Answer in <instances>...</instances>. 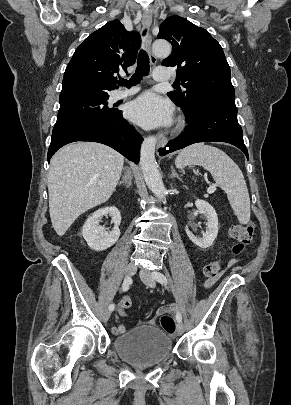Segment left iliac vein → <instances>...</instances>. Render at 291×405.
Instances as JSON below:
<instances>
[{
    "label": "left iliac vein",
    "mask_w": 291,
    "mask_h": 405,
    "mask_svg": "<svg viewBox=\"0 0 291 405\" xmlns=\"http://www.w3.org/2000/svg\"><path fill=\"white\" fill-rule=\"evenodd\" d=\"M140 278L143 281L144 284H146L147 286L154 288L156 283H155V279L152 276V273L147 270V269H142L140 271ZM184 332V325L179 322L178 326H177V333L178 335H182Z\"/></svg>",
    "instance_id": "obj_1"
}]
</instances>
